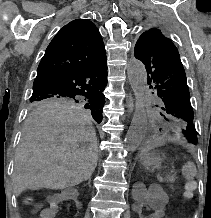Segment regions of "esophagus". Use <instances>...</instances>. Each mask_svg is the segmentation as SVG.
<instances>
[{"label":"esophagus","instance_id":"34e87169","mask_svg":"<svg viewBox=\"0 0 211 218\" xmlns=\"http://www.w3.org/2000/svg\"><path fill=\"white\" fill-rule=\"evenodd\" d=\"M129 93L127 94V99H126V102L127 103H132L133 102V97H134V94L132 93L133 91L130 89L129 91H128ZM126 108L127 109H129L127 112H125L123 115L125 116V117H132V111L130 110V109H132L133 108V105L132 104H127L126 105Z\"/></svg>","mask_w":211,"mask_h":218}]
</instances>
